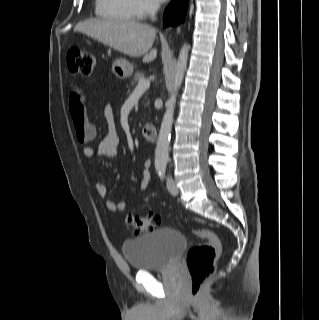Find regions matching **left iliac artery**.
<instances>
[{"label":"left iliac artery","instance_id":"obj_1","mask_svg":"<svg viewBox=\"0 0 319 320\" xmlns=\"http://www.w3.org/2000/svg\"><path fill=\"white\" fill-rule=\"evenodd\" d=\"M158 173H159L160 178L163 179L164 174H165V167L164 166L159 167L158 168Z\"/></svg>","mask_w":319,"mask_h":320}]
</instances>
